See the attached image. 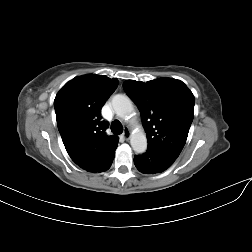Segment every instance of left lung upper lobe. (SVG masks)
Segmentation results:
<instances>
[{"mask_svg": "<svg viewBox=\"0 0 252 252\" xmlns=\"http://www.w3.org/2000/svg\"><path fill=\"white\" fill-rule=\"evenodd\" d=\"M123 87L140 111L148 148L177 158L194 117L195 98L189 88L172 78L126 80Z\"/></svg>", "mask_w": 252, "mask_h": 252, "instance_id": "1", "label": "left lung upper lobe"}]
</instances>
